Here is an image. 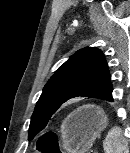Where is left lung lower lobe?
I'll use <instances>...</instances> for the list:
<instances>
[{
  "instance_id": "0a47b994",
  "label": "left lung lower lobe",
  "mask_w": 130,
  "mask_h": 153,
  "mask_svg": "<svg viewBox=\"0 0 130 153\" xmlns=\"http://www.w3.org/2000/svg\"><path fill=\"white\" fill-rule=\"evenodd\" d=\"M112 90H113V87H112V84L110 82V84H109L106 92L103 94V96L101 97V99L102 100H107V101L113 102Z\"/></svg>"
}]
</instances>
